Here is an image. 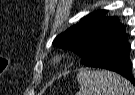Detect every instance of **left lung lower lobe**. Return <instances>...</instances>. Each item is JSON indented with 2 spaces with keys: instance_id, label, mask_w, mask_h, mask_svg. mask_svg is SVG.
<instances>
[{
  "instance_id": "left-lung-lower-lobe-1",
  "label": "left lung lower lobe",
  "mask_w": 135,
  "mask_h": 95,
  "mask_svg": "<svg viewBox=\"0 0 135 95\" xmlns=\"http://www.w3.org/2000/svg\"><path fill=\"white\" fill-rule=\"evenodd\" d=\"M130 50L126 32L123 30L105 37L83 64L115 71L135 85L132 63L129 59Z\"/></svg>"
}]
</instances>
